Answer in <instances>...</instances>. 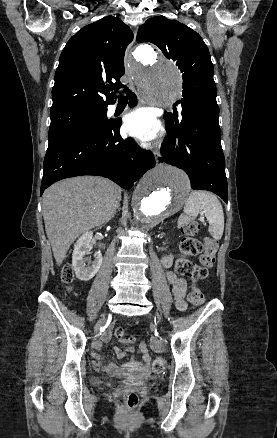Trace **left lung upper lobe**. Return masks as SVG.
<instances>
[{"instance_id":"obj_1","label":"left lung upper lobe","mask_w":277,"mask_h":438,"mask_svg":"<svg viewBox=\"0 0 277 438\" xmlns=\"http://www.w3.org/2000/svg\"><path fill=\"white\" fill-rule=\"evenodd\" d=\"M137 42H150L158 46L163 54L176 61L183 78V99L181 102L216 96L213 79V64L209 50L201 36L188 26L162 16L148 19L140 26ZM172 113L165 112L166 123H172Z\"/></svg>"}]
</instances>
